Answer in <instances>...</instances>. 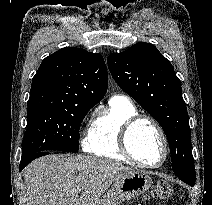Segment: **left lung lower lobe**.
I'll use <instances>...</instances> for the list:
<instances>
[{
	"label": "left lung lower lobe",
	"instance_id": "obj_1",
	"mask_svg": "<svg viewBox=\"0 0 212 205\" xmlns=\"http://www.w3.org/2000/svg\"><path fill=\"white\" fill-rule=\"evenodd\" d=\"M179 179L182 180L183 182L187 183L190 186H194V184H195V179L186 178V177H179Z\"/></svg>",
	"mask_w": 212,
	"mask_h": 205
}]
</instances>
